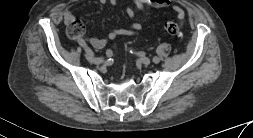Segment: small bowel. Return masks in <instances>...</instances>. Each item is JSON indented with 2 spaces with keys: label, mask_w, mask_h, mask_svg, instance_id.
<instances>
[{
  "label": "small bowel",
  "mask_w": 253,
  "mask_h": 138,
  "mask_svg": "<svg viewBox=\"0 0 253 138\" xmlns=\"http://www.w3.org/2000/svg\"><path fill=\"white\" fill-rule=\"evenodd\" d=\"M102 4L110 3L111 5H118L119 0H99ZM133 6L126 8V14L128 18L135 19L138 13H145L148 8H167L171 6V0H132ZM172 10L174 11L176 17L180 20L185 19V12L179 5H172ZM75 20V15L71 10H67L64 13V22L69 25ZM142 25L138 22H133L128 28H120L111 30L105 37H91L89 39L90 45L95 49L104 48L108 42L113 41L120 35H134L140 32ZM80 45L87 48L83 39H78Z\"/></svg>",
  "instance_id": "small-bowel-1"
}]
</instances>
